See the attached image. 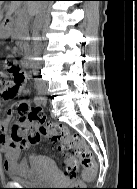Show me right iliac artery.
<instances>
[{
    "instance_id": "82829eb1",
    "label": "right iliac artery",
    "mask_w": 137,
    "mask_h": 189,
    "mask_svg": "<svg viewBox=\"0 0 137 189\" xmlns=\"http://www.w3.org/2000/svg\"><path fill=\"white\" fill-rule=\"evenodd\" d=\"M41 100H42V98H41V97H38V98L36 99V103H37V104H41Z\"/></svg>"
}]
</instances>
